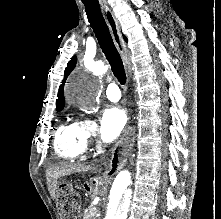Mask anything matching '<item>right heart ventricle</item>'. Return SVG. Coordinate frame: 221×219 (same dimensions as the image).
I'll return each mask as SVG.
<instances>
[{
    "label": "right heart ventricle",
    "instance_id": "right-heart-ventricle-1",
    "mask_svg": "<svg viewBox=\"0 0 221 219\" xmlns=\"http://www.w3.org/2000/svg\"><path fill=\"white\" fill-rule=\"evenodd\" d=\"M54 149L57 155L64 160H76L85 151L78 121L62 125L54 137Z\"/></svg>",
    "mask_w": 221,
    "mask_h": 219
}]
</instances>
